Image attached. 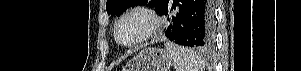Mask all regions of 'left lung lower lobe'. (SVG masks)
Segmentation results:
<instances>
[{"instance_id": "1", "label": "left lung lower lobe", "mask_w": 301, "mask_h": 71, "mask_svg": "<svg viewBox=\"0 0 301 71\" xmlns=\"http://www.w3.org/2000/svg\"><path fill=\"white\" fill-rule=\"evenodd\" d=\"M159 15H166L171 20L165 31L171 41L198 48L213 45L212 0H166Z\"/></svg>"}]
</instances>
